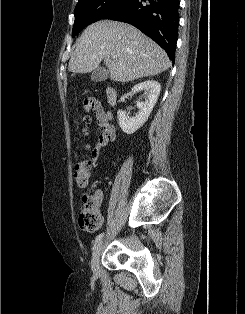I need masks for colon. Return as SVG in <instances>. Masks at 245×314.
I'll use <instances>...</instances> for the list:
<instances>
[{
    "label": "colon",
    "mask_w": 245,
    "mask_h": 314,
    "mask_svg": "<svg viewBox=\"0 0 245 314\" xmlns=\"http://www.w3.org/2000/svg\"><path fill=\"white\" fill-rule=\"evenodd\" d=\"M89 103L87 99L84 104ZM76 122L83 126L81 132L85 134L87 132V125L89 123L88 116H77ZM81 149L88 150L89 145L83 144ZM92 164L85 157H81L74 168L73 176L75 182L79 188H86L89 185V180L91 176ZM78 223L82 230L84 231H94L101 223V214L99 211L98 195L97 194H85L81 199V207L78 215Z\"/></svg>",
    "instance_id": "colon-1"
}]
</instances>
